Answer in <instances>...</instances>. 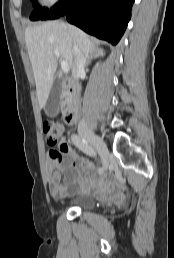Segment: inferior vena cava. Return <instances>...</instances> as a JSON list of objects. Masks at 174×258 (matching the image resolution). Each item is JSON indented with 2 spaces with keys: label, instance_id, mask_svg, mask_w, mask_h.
I'll return each instance as SVG.
<instances>
[{
  "label": "inferior vena cava",
  "instance_id": "1",
  "mask_svg": "<svg viewBox=\"0 0 174 258\" xmlns=\"http://www.w3.org/2000/svg\"><path fill=\"white\" fill-rule=\"evenodd\" d=\"M86 58L87 56L82 53L79 49L75 50V54H74V66L72 69V75L74 77V79L78 80L80 75L84 72V66L86 63ZM79 129H86L87 125L84 119H82L79 122L78 125Z\"/></svg>",
  "mask_w": 174,
  "mask_h": 258
}]
</instances>
